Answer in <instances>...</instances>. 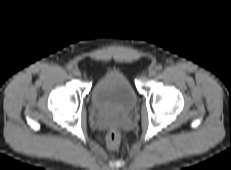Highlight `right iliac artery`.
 Returning <instances> with one entry per match:
<instances>
[{
	"label": "right iliac artery",
	"mask_w": 231,
	"mask_h": 170,
	"mask_svg": "<svg viewBox=\"0 0 231 170\" xmlns=\"http://www.w3.org/2000/svg\"><path fill=\"white\" fill-rule=\"evenodd\" d=\"M72 69H73V67H72V66H70V65H69V66H67V70H68V71H71Z\"/></svg>",
	"instance_id": "right-iliac-artery-1"
}]
</instances>
